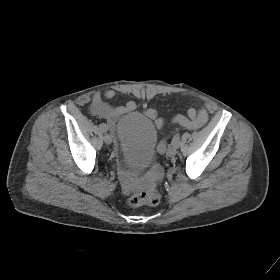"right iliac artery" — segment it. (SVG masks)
<instances>
[{
    "mask_svg": "<svg viewBox=\"0 0 280 280\" xmlns=\"http://www.w3.org/2000/svg\"><path fill=\"white\" fill-rule=\"evenodd\" d=\"M100 129L103 131V132H106L107 131V125L102 123L100 124Z\"/></svg>",
    "mask_w": 280,
    "mask_h": 280,
    "instance_id": "1",
    "label": "right iliac artery"
}]
</instances>
